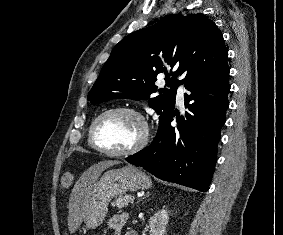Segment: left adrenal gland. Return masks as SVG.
<instances>
[{
	"instance_id": "left-adrenal-gland-1",
	"label": "left adrenal gland",
	"mask_w": 283,
	"mask_h": 235,
	"mask_svg": "<svg viewBox=\"0 0 283 235\" xmlns=\"http://www.w3.org/2000/svg\"><path fill=\"white\" fill-rule=\"evenodd\" d=\"M149 196H150V193L147 192L146 195H144L142 199H144V198H146V197H149Z\"/></svg>"
}]
</instances>
